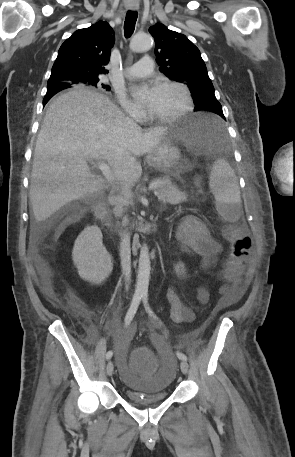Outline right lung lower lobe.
<instances>
[{
  "label": "right lung lower lobe",
  "instance_id": "obj_1",
  "mask_svg": "<svg viewBox=\"0 0 295 457\" xmlns=\"http://www.w3.org/2000/svg\"><path fill=\"white\" fill-rule=\"evenodd\" d=\"M66 88H68V87H65L64 85H61V84H54V85L47 86V93H46V95L44 97L43 105H45L48 102V100L53 95H55L57 92H59V91H61L63 89H66Z\"/></svg>",
  "mask_w": 295,
  "mask_h": 457
}]
</instances>
